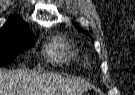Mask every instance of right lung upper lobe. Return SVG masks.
I'll use <instances>...</instances> for the list:
<instances>
[{
    "instance_id": "1",
    "label": "right lung upper lobe",
    "mask_w": 135,
    "mask_h": 95,
    "mask_svg": "<svg viewBox=\"0 0 135 95\" xmlns=\"http://www.w3.org/2000/svg\"><path fill=\"white\" fill-rule=\"evenodd\" d=\"M18 32L30 33L27 24L22 19H19L16 16H12L0 29V36L8 35L11 33H18Z\"/></svg>"
}]
</instances>
